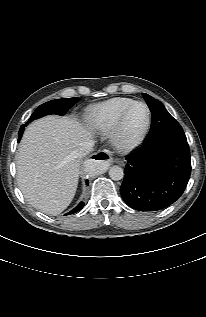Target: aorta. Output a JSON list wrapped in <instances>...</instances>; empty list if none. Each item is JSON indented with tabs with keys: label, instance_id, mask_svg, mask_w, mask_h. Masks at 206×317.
Listing matches in <instances>:
<instances>
[{
	"label": "aorta",
	"instance_id": "obj_1",
	"mask_svg": "<svg viewBox=\"0 0 206 317\" xmlns=\"http://www.w3.org/2000/svg\"><path fill=\"white\" fill-rule=\"evenodd\" d=\"M85 169L87 172L91 174L98 173L99 171V166L96 161L90 162L86 164ZM109 176L112 180L114 181H119L124 177V171L120 166H112L109 170Z\"/></svg>",
	"mask_w": 206,
	"mask_h": 317
}]
</instances>
